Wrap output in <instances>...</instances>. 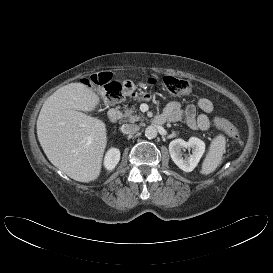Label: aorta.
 Listing matches in <instances>:
<instances>
[{"label":"aorta","instance_id":"obj_1","mask_svg":"<svg viewBox=\"0 0 273 273\" xmlns=\"http://www.w3.org/2000/svg\"><path fill=\"white\" fill-rule=\"evenodd\" d=\"M145 136L148 138V139H153L157 136V129L156 127L154 126H148L146 129H145Z\"/></svg>","mask_w":273,"mask_h":273}]
</instances>
